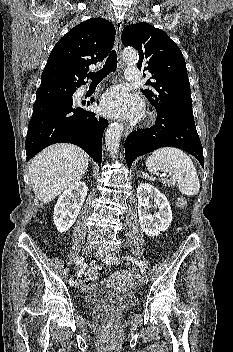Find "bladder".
Here are the masks:
<instances>
[{
  "instance_id": "31cf9c89",
  "label": "bladder",
  "mask_w": 233,
  "mask_h": 352,
  "mask_svg": "<svg viewBox=\"0 0 233 352\" xmlns=\"http://www.w3.org/2000/svg\"><path fill=\"white\" fill-rule=\"evenodd\" d=\"M85 304H104L120 309L130 308L135 303V298L130 293H120L104 285L91 288L85 297Z\"/></svg>"
}]
</instances>
